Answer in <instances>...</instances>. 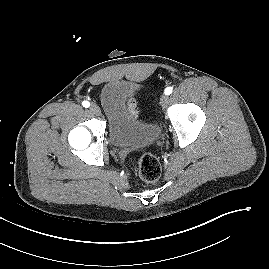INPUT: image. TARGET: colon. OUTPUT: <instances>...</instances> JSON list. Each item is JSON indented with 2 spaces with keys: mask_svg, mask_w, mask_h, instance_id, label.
<instances>
[{
  "mask_svg": "<svg viewBox=\"0 0 269 269\" xmlns=\"http://www.w3.org/2000/svg\"><path fill=\"white\" fill-rule=\"evenodd\" d=\"M129 108L134 115L137 114V104L133 98L129 101ZM131 162L134 163L135 159L132 158ZM136 163L139 176L143 181L153 183L158 180L161 174V165L154 155L149 153L142 154Z\"/></svg>",
  "mask_w": 269,
  "mask_h": 269,
  "instance_id": "obj_1",
  "label": "colon"
}]
</instances>
